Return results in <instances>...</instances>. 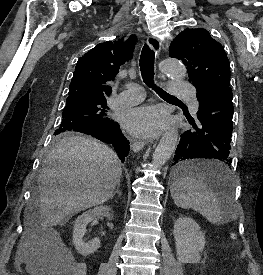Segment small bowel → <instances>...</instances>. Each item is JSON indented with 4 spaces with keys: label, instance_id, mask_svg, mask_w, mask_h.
<instances>
[{
    "label": "small bowel",
    "instance_id": "1",
    "mask_svg": "<svg viewBox=\"0 0 263 275\" xmlns=\"http://www.w3.org/2000/svg\"><path fill=\"white\" fill-rule=\"evenodd\" d=\"M31 270H33L36 273H40L42 271V269L40 267H38V266L31 267Z\"/></svg>",
    "mask_w": 263,
    "mask_h": 275
}]
</instances>
